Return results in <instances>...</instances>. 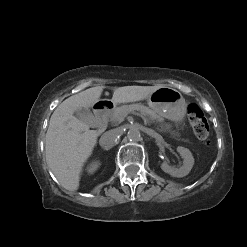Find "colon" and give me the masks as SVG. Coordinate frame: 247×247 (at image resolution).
<instances>
[{
    "label": "colon",
    "mask_w": 247,
    "mask_h": 247,
    "mask_svg": "<svg viewBox=\"0 0 247 247\" xmlns=\"http://www.w3.org/2000/svg\"><path fill=\"white\" fill-rule=\"evenodd\" d=\"M188 120L196 137L203 142H208L210 134L209 124L203 111L198 106L194 104L189 106Z\"/></svg>",
    "instance_id": "5ec220e1"
}]
</instances>
